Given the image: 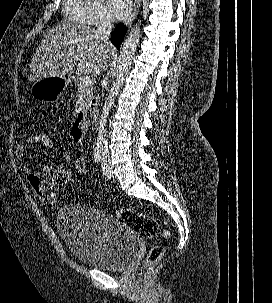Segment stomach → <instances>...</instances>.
Wrapping results in <instances>:
<instances>
[{
	"label": "stomach",
	"instance_id": "1",
	"mask_svg": "<svg viewBox=\"0 0 272 303\" xmlns=\"http://www.w3.org/2000/svg\"><path fill=\"white\" fill-rule=\"evenodd\" d=\"M65 77H49L35 82L31 92L34 98L42 102L56 101L67 87Z\"/></svg>",
	"mask_w": 272,
	"mask_h": 303
}]
</instances>
